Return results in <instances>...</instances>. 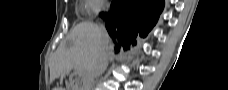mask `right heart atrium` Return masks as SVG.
I'll use <instances>...</instances> for the list:
<instances>
[{
	"label": "right heart atrium",
	"instance_id": "right-heart-atrium-1",
	"mask_svg": "<svg viewBox=\"0 0 228 90\" xmlns=\"http://www.w3.org/2000/svg\"><path fill=\"white\" fill-rule=\"evenodd\" d=\"M84 3L86 5V13L90 15L98 14L107 5L105 0H86Z\"/></svg>",
	"mask_w": 228,
	"mask_h": 90
}]
</instances>
